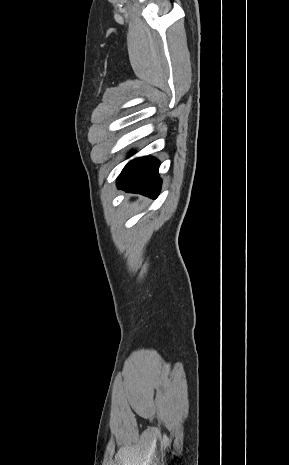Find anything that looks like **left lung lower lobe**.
I'll list each match as a JSON object with an SVG mask.
<instances>
[{
    "instance_id": "obj_1",
    "label": "left lung lower lobe",
    "mask_w": 289,
    "mask_h": 465,
    "mask_svg": "<svg viewBox=\"0 0 289 465\" xmlns=\"http://www.w3.org/2000/svg\"><path fill=\"white\" fill-rule=\"evenodd\" d=\"M158 168L159 161L153 157L134 159L125 166L119 175L118 188L155 199L161 188Z\"/></svg>"
}]
</instances>
